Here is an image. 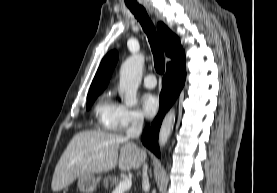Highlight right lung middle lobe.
Returning a JSON list of instances; mask_svg holds the SVG:
<instances>
[{
	"label": "right lung middle lobe",
	"instance_id": "dd1d6c3e",
	"mask_svg": "<svg viewBox=\"0 0 277 193\" xmlns=\"http://www.w3.org/2000/svg\"><path fill=\"white\" fill-rule=\"evenodd\" d=\"M100 94V92H94L91 94H88L87 96V109H90L91 105L93 104L94 100L97 98V96Z\"/></svg>",
	"mask_w": 277,
	"mask_h": 193
}]
</instances>
